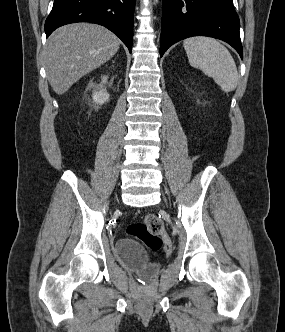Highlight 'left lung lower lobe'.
Returning <instances> with one entry per match:
<instances>
[{
	"instance_id": "obj_1",
	"label": "left lung lower lobe",
	"mask_w": 285,
	"mask_h": 332,
	"mask_svg": "<svg viewBox=\"0 0 285 332\" xmlns=\"http://www.w3.org/2000/svg\"><path fill=\"white\" fill-rule=\"evenodd\" d=\"M239 28L232 0H163L160 56L182 39L209 36L227 42L243 58Z\"/></svg>"
}]
</instances>
